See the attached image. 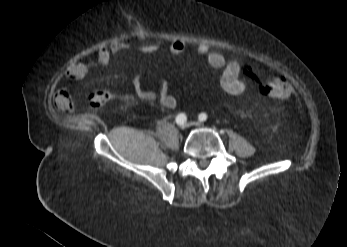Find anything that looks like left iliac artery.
<instances>
[{
    "mask_svg": "<svg viewBox=\"0 0 347 247\" xmlns=\"http://www.w3.org/2000/svg\"><path fill=\"white\" fill-rule=\"evenodd\" d=\"M199 120L202 121V122L206 121L207 120V115L205 113H201L199 115Z\"/></svg>",
    "mask_w": 347,
    "mask_h": 247,
    "instance_id": "44dca946",
    "label": "left iliac artery"
}]
</instances>
